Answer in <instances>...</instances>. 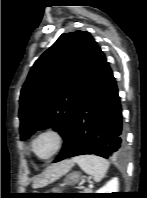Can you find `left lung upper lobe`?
<instances>
[{"mask_svg": "<svg viewBox=\"0 0 147 198\" xmlns=\"http://www.w3.org/2000/svg\"><path fill=\"white\" fill-rule=\"evenodd\" d=\"M99 46L86 31L62 34L32 66L20 95V138L52 127L65 138L92 75Z\"/></svg>", "mask_w": 147, "mask_h": 198, "instance_id": "5c2ea615", "label": "left lung upper lobe"}]
</instances>
